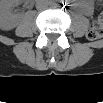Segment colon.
Returning <instances> with one entry per match:
<instances>
[{
    "mask_svg": "<svg viewBox=\"0 0 103 103\" xmlns=\"http://www.w3.org/2000/svg\"><path fill=\"white\" fill-rule=\"evenodd\" d=\"M103 35V14L97 16L95 20L92 21L89 30L87 32V37L90 40H96L101 38Z\"/></svg>",
    "mask_w": 103,
    "mask_h": 103,
    "instance_id": "5ec220e1",
    "label": "colon"
}]
</instances>
